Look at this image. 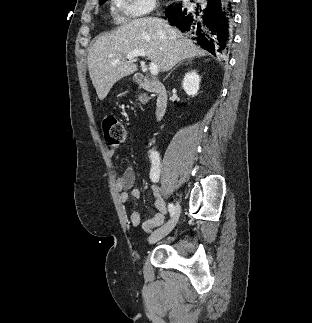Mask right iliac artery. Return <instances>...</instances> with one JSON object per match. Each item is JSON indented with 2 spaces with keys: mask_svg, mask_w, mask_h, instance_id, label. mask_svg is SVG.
Wrapping results in <instances>:
<instances>
[{
  "mask_svg": "<svg viewBox=\"0 0 312 323\" xmlns=\"http://www.w3.org/2000/svg\"><path fill=\"white\" fill-rule=\"evenodd\" d=\"M150 159L152 162V169L150 171V178L153 182H157L159 180V154L156 151L151 152ZM168 209L170 215L173 216L175 214V206L172 203H169Z\"/></svg>",
  "mask_w": 312,
  "mask_h": 323,
  "instance_id": "right-iliac-artery-1",
  "label": "right iliac artery"
}]
</instances>
